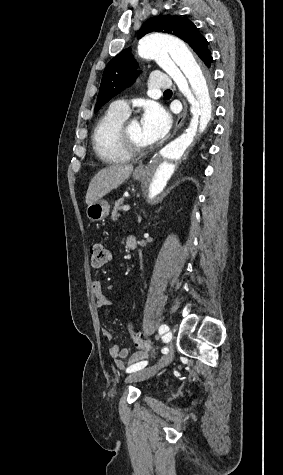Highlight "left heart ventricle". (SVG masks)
Listing matches in <instances>:
<instances>
[{
	"mask_svg": "<svg viewBox=\"0 0 283 475\" xmlns=\"http://www.w3.org/2000/svg\"><path fill=\"white\" fill-rule=\"evenodd\" d=\"M129 136H130V139H131L132 143H134L135 145L147 146V145L150 144V142L147 141L143 136V129H142V126H141V122H139L136 119L131 120L130 123H129ZM122 147L124 149H128V147L126 145H123ZM110 150L111 151H116L117 146L115 144L112 145L110 147Z\"/></svg>",
	"mask_w": 283,
	"mask_h": 475,
	"instance_id": "obj_1",
	"label": "left heart ventricle"
}]
</instances>
